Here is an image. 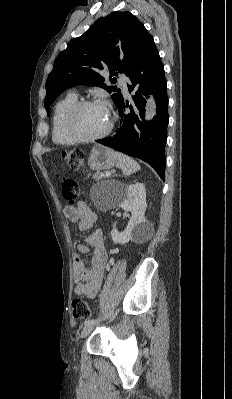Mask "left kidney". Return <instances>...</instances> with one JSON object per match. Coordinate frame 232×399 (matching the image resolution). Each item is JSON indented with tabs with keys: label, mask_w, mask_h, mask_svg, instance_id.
Segmentation results:
<instances>
[{
	"label": "left kidney",
	"mask_w": 232,
	"mask_h": 399,
	"mask_svg": "<svg viewBox=\"0 0 232 399\" xmlns=\"http://www.w3.org/2000/svg\"><path fill=\"white\" fill-rule=\"evenodd\" d=\"M119 194L121 196L120 207L125 211H131L132 215L124 229L118 231L113 227L111 237L114 243H127V241H144L148 235L149 227L152 223L147 221L145 211L147 207L146 192L144 184H119Z\"/></svg>",
	"instance_id": "1"
}]
</instances>
